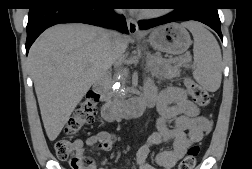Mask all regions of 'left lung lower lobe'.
<instances>
[{
    "mask_svg": "<svg viewBox=\"0 0 252 169\" xmlns=\"http://www.w3.org/2000/svg\"><path fill=\"white\" fill-rule=\"evenodd\" d=\"M175 11L164 17L139 21V29L145 30L162 24L195 20L211 27L223 40L221 22L218 15V7L214 0H178Z\"/></svg>",
    "mask_w": 252,
    "mask_h": 169,
    "instance_id": "1",
    "label": "left lung lower lobe"
}]
</instances>
